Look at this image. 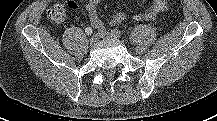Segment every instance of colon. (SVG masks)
I'll return each instance as SVG.
<instances>
[{"mask_svg": "<svg viewBox=\"0 0 217 121\" xmlns=\"http://www.w3.org/2000/svg\"><path fill=\"white\" fill-rule=\"evenodd\" d=\"M66 16H67V8L62 3H56L48 9L49 19L56 24H60L64 22Z\"/></svg>", "mask_w": 217, "mask_h": 121, "instance_id": "obj_1", "label": "colon"}]
</instances>
